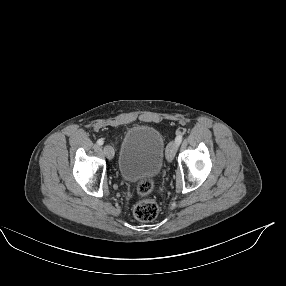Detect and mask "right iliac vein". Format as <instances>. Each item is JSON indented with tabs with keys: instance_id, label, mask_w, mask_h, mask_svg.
Here are the masks:
<instances>
[{
	"instance_id": "right-iliac-vein-1",
	"label": "right iliac vein",
	"mask_w": 286,
	"mask_h": 286,
	"mask_svg": "<svg viewBox=\"0 0 286 286\" xmlns=\"http://www.w3.org/2000/svg\"><path fill=\"white\" fill-rule=\"evenodd\" d=\"M104 153L107 156L108 159H113L114 157V149L112 146L110 145H105L104 146Z\"/></svg>"
}]
</instances>
